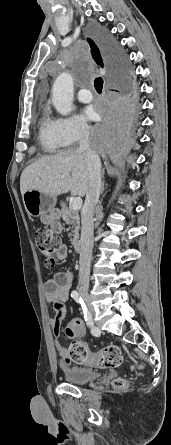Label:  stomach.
<instances>
[{"mask_svg":"<svg viewBox=\"0 0 171 445\" xmlns=\"http://www.w3.org/2000/svg\"><path fill=\"white\" fill-rule=\"evenodd\" d=\"M22 197L28 215L39 217L50 214L51 220L57 221L59 219V210L55 209L57 202L55 196L44 194L38 190H28Z\"/></svg>","mask_w":171,"mask_h":445,"instance_id":"1","label":"stomach"}]
</instances>
